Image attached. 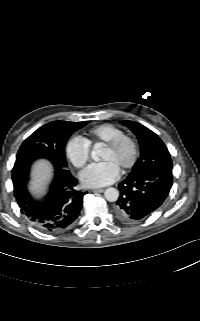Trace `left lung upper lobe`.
<instances>
[{
	"mask_svg": "<svg viewBox=\"0 0 200 321\" xmlns=\"http://www.w3.org/2000/svg\"><path fill=\"white\" fill-rule=\"evenodd\" d=\"M120 123L131 129L140 144V158L133 166L132 172L148 168L172 169L169 151L153 131L134 121H121Z\"/></svg>",
	"mask_w": 200,
	"mask_h": 321,
	"instance_id": "5c2ea615",
	"label": "left lung upper lobe"
}]
</instances>
